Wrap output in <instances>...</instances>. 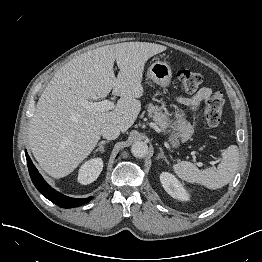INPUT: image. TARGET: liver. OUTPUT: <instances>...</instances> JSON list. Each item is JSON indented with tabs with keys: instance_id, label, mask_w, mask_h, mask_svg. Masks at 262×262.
Segmentation results:
<instances>
[{
	"instance_id": "1",
	"label": "liver",
	"mask_w": 262,
	"mask_h": 262,
	"mask_svg": "<svg viewBox=\"0 0 262 262\" xmlns=\"http://www.w3.org/2000/svg\"><path fill=\"white\" fill-rule=\"evenodd\" d=\"M166 46L125 42L87 51L62 66L41 94L28 131L29 147L54 178L67 176L97 145L101 128L115 124L126 132L141 110L144 65ZM120 69L117 78L114 62ZM121 98L112 111H90L81 100Z\"/></svg>"
}]
</instances>
